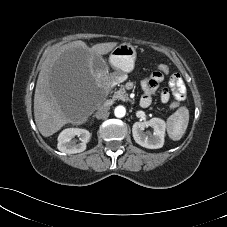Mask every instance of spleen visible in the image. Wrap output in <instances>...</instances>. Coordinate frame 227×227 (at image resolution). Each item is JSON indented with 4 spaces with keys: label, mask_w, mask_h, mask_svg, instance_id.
I'll return each instance as SVG.
<instances>
[{
    "label": "spleen",
    "mask_w": 227,
    "mask_h": 227,
    "mask_svg": "<svg viewBox=\"0 0 227 227\" xmlns=\"http://www.w3.org/2000/svg\"><path fill=\"white\" fill-rule=\"evenodd\" d=\"M188 122V109L186 107H180L167 119V131L169 137L174 141L180 140L187 129Z\"/></svg>",
    "instance_id": "spleen-1"
}]
</instances>
